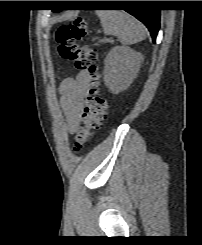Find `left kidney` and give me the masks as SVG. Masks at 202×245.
<instances>
[{"instance_id":"obj_1","label":"left kidney","mask_w":202,"mask_h":245,"mask_svg":"<svg viewBox=\"0 0 202 245\" xmlns=\"http://www.w3.org/2000/svg\"><path fill=\"white\" fill-rule=\"evenodd\" d=\"M142 60V54L129 47L112 48L105 59V85L114 94L126 90L136 78Z\"/></svg>"}]
</instances>
